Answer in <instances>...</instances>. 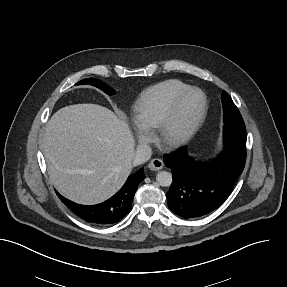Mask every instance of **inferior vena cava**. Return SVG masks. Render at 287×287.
I'll use <instances>...</instances> for the list:
<instances>
[{"label":"inferior vena cava","instance_id":"obj_1","mask_svg":"<svg viewBox=\"0 0 287 287\" xmlns=\"http://www.w3.org/2000/svg\"><path fill=\"white\" fill-rule=\"evenodd\" d=\"M151 155H152V150L149 145L147 144L139 145L133 156V160H132L133 165L137 166V165L145 163L146 161L150 159Z\"/></svg>","mask_w":287,"mask_h":287}]
</instances>
